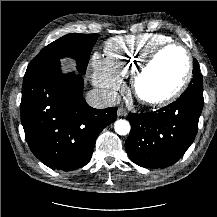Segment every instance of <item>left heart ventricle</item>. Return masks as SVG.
Returning a JSON list of instances; mask_svg holds the SVG:
<instances>
[{"mask_svg": "<svg viewBox=\"0 0 217 217\" xmlns=\"http://www.w3.org/2000/svg\"><path fill=\"white\" fill-rule=\"evenodd\" d=\"M187 71V59L180 49L163 52L139 82V93L145 98H159L174 91Z\"/></svg>", "mask_w": 217, "mask_h": 217, "instance_id": "left-heart-ventricle-1", "label": "left heart ventricle"}]
</instances>
